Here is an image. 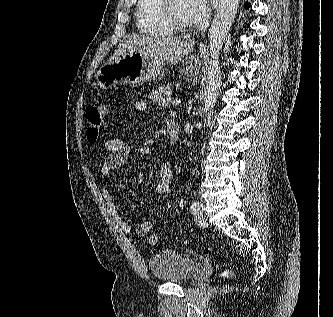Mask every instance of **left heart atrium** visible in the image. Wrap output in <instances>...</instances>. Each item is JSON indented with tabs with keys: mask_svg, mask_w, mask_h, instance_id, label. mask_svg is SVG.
I'll use <instances>...</instances> for the list:
<instances>
[{
	"mask_svg": "<svg viewBox=\"0 0 333 317\" xmlns=\"http://www.w3.org/2000/svg\"><path fill=\"white\" fill-rule=\"evenodd\" d=\"M187 8L192 24H202L209 16V6L207 0H187Z\"/></svg>",
	"mask_w": 333,
	"mask_h": 317,
	"instance_id": "39dd6f15",
	"label": "left heart atrium"
}]
</instances>
